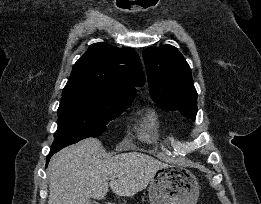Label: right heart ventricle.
Masks as SVG:
<instances>
[{
  "instance_id": "obj_1",
  "label": "right heart ventricle",
  "mask_w": 261,
  "mask_h": 204,
  "mask_svg": "<svg viewBox=\"0 0 261 204\" xmlns=\"http://www.w3.org/2000/svg\"><path fill=\"white\" fill-rule=\"evenodd\" d=\"M158 118L155 112H148L142 119L140 125V138L144 141H151L153 138V131L157 127Z\"/></svg>"
}]
</instances>
